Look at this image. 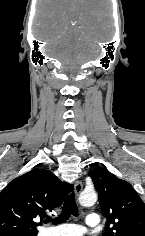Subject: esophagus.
<instances>
[{"mask_svg":"<svg viewBox=\"0 0 145 236\" xmlns=\"http://www.w3.org/2000/svg\"><path fill=\"white\" fill-rule=\"evenodd\" d=\"M82 190V183L80 181H76L74 185V191L76 195H79Z\"/></svg>","mask_w":145,"mask_h":236,"instance_id":"esophagus-1","label":"esophagus"}]
</instances>
